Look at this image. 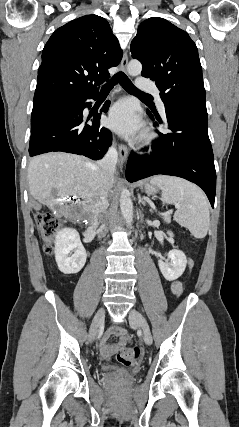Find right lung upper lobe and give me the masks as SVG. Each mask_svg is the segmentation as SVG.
Wrapping results in <instances>:
<instances>
[{
	"mask_svg": "<svg viewBox=\"0 0 239 427\" xmlns=\"http://www.w3.org/2000/svg\"><path fill=\"white\" fill-rule=\"evenodd\" d=\"M117 38L103 17L86 15L58 28L46 43L34 99L97 93L122 58Z\"/></svg>",
	"mask_w": 239,
	"mask_h": 427,
	"instance_id": "obj_1",
	"label": "right lung upper lobe"
}]
</instances>
